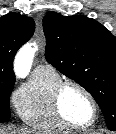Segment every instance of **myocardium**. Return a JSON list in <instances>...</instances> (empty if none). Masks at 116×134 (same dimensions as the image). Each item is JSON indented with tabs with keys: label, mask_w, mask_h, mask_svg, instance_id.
<instances>
[{
	"label": "myocardium",
	"mask_w": 116,
	"mask_h": 134,
	"mask_svg": "<svg viewBox=\"0 0 116 134\" xmlns=\"http://www.w3.org/2000/svg\"><path fill=\"white\" fill-rule=\"evenodd\" d=\"M70 86L75 87L78 90H80L81 92H83L91 103L93 113H92L91 120L87 124H76V123L72 122L71 120H69L63 112L62 103H61L62 94H63L64 90ZM52 104H53V109H54V112H55L57 118L69 128L86 129V128L93 126L95 124V122L97 121L98 104H97L94 96L85 86H83L82 84H80L74 80H62L61 82H59L57 84V86L53 90Z\"/></svg>",
	"instance_id": "1"
}]
</instances>
